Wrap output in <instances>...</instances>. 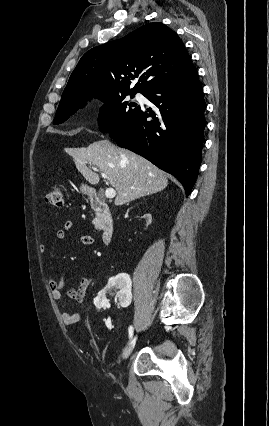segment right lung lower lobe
<instances>
[{
  "label": "right lung lower lobe",
  "mask_w": 269,
  "mask_h": 426,
  "mask_svg": "<svg viewBox=\"0 0 269 426\" xmlns=\"http://www.w3.org/2000/svg\"><path fill=\"white\" fill-rule=\"evenodd\" d=\"M143 95L158 109L140 107L109 136L174 175L188 196L200 168L206 125L198 72L193 66Z\"/></svg>",
  "instance_id": "98d812e1"
}]
</instances>
